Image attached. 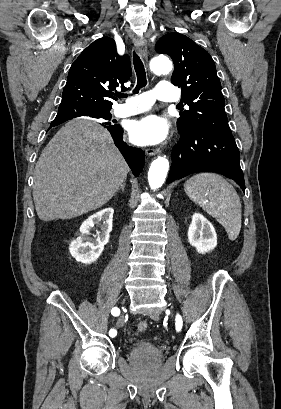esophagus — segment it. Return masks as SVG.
Listing matches in <instances>:
<instances>
[{
    "label": "esophagus",
    "instance_id": "esophagus-1",
    "mask_svg": "<svg viewBox=\"0 0 281 409\" xmlns=\"http://www.w3.org/2000/svg\"><path fill=\"white\" fill-rule=\"evenodd\" d=\"M135 47L137 49V51L139 52V54L145 59L147 60L148 58V47H147V43L146 40H144L143 38H137L135 39ZM160 152L159 149H146V154L147 155H156Z\"/></svg>",
    "mask_w": 281,
    "mask_h": 409
}]
</instances>
